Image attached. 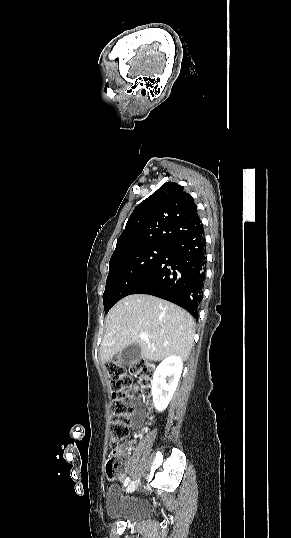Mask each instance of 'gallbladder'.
<instances>
[{
  "label": "gallbladder",
  "mask_w": 291,
  "mask_h": 538,
  "mask_svg": "<svg viewBox=\"0 0 291 538\" xmlns=\"http://www.w3.org/2000/svg\"><path fill=\"white\" fill-rule=\"evenodd\" d=\"M141 357V349L138 344H132L121 351L119 354V362L124 366H129L134 361Z\"/></svg>",
  "instance_id": "bac80fb5"
}]
</instances>
